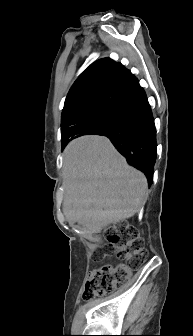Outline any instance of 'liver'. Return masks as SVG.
Segmentation results:
<instances>
[{
  "mask_svg": "<svg viewBox=\"0 0 193 336\" xmlns=\"http://www.w3.org/2000/svg\"><path fill=\"white\" fill-rule=\"evenodd\" d=\"M63 184L66 220L94 233L134 216L148 195L144 174L129 166L108 138L98 135L67 145Z\"/></svg>",
  "mask_w": 193,
  "mask_h": 336,
  "instance_id": "obj_1",
  "label": "liver"
}]
</instances>
